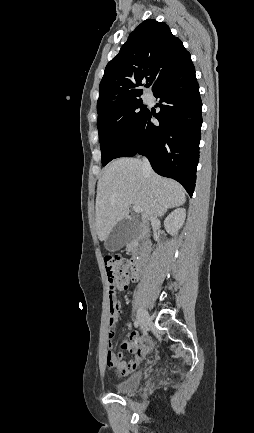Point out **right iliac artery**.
Listing matches in <instances>:
<instances>
[{
	"label": "right iliac artery",
	"mask_w": 254,
	"mask_h": 433,
	"mask_svg": "<svg viewBox=\"0 0 254 433\" xmlns=\"http://www.w3.org/2000/svg\"><path fill=\"white\" fill-rule=\"evenodd\" d=\"M134 326H135L136 328L139 327V321H138V320H135V321H134Z\"/></svg>",
	"instance_id": "82829eb1"
}]
</instances>
